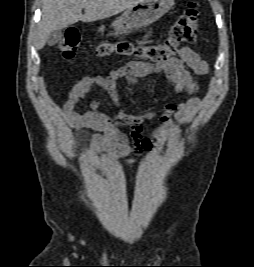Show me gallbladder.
<instances>
[{
	"mask_svg": "<svg viewBox=\"0 0 254 267\" xmlns=\"http://www.w3.org/2000/svg\"><path fill=\"white\" fill-rule=\"evenodd\" d=\"M61 39H62V31L56 30L49 35L47 39V44L49 46H55Z\"/></svg>",
	"mask_w": 254,
	"mask_h": 267,
	"instance_id": "1",
	"label": "gallbladder"
}]
</instances>
